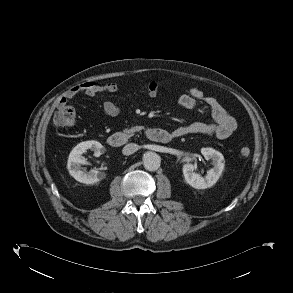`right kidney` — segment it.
I'll return each mask as SVG.
<instances>
[{"mask_svg":"<svg viewBox=\"0 0 293 293\" xmlns=\"http://www.w3.org/2000/svg\"><path fill=\"white\" fill-rule=\"evenodd\" d=\"M88 149L94 151V155L96 157H99L104 152V147L98 141L91 140L81 142L70 152L67 162V169L69 174L78 182L93 185L101 181L105 177V174L94 169L89 172L81 170V164L86 163V159L82 156V154Z\"/></svg>","mask_w":293,"mask_h":293,"instance_id":"obj_1","label":"right kidney"}]
</instances>
